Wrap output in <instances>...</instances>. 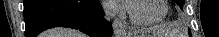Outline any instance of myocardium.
<instances>
[{"label":"myocardium","instance_id":"myocardium-1","mask_svg":"<svg viewBox=\"0 0 219 37\" xmlns=\"http://www.w3.org/2000/svg\"><path fill=\"white\" fill-rule=\"evenodd\" d=\"M136 1H141V0L131 1L130 5L127 7V13H128L129 19H130L131 23L135 26H139V27L155 26V25L161 23L165 19V17L168 15V12H169L168 1L162 0L161 1L162 12L158 17H156L154 19H149V20L138 19L137 17H135L133 15V13L131 11L132 2H136Z\"/></svg>","mask_w":219,"mask_h":37}]
</instances>
